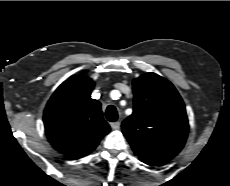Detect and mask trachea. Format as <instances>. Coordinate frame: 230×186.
<instances>
[{
    "label": "trachea",
    "instance_id": "obj_1",
    "mask_svg": "<svg viewBox=\"0 0 230 186\" xmlns=\"http://www.w3.org/2000/svg\"><path fill=\"white\" fill-rule=\"evenodd\" d=\"M105 115H106L107 120L110 122H115L118 118L117 110L112 105H109L107 107Z\"/></svg>",
    "mask_w": 230,
    "mask_h": 186
}]
</instances>
